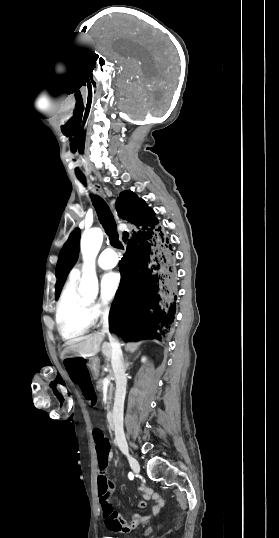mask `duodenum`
I'll return each instance as SVG.
<instances>
[{
  "mask_svg": "<svg viewBox=\"0 0 279 538\" xmlns=\"http://www.w3.org/2000/svg\"><path fill=\"white\" fill-rule=\"evenodd\" d=\"M92 369L94 370V372H97V370L99 369V366L97 364H94L92 366ZM105 417L107 418V422L109 423V427L111 429H114L116 427V424L114 423L115 413L107 412L105 414Z\"/></svg>",
  "mask_w": 279,
  "mask_h": 538,
  "instance_id": "obj_1",
  "label": "duodenum"
}]
</instances>
